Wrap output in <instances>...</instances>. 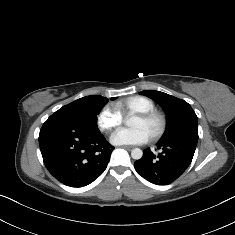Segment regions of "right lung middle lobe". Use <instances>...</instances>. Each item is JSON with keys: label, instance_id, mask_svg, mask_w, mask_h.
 Listing matches in <instances>:
<instances>
[{"label": "right lung middle lobe", "instance_id": "obj_1", "mask_svg": "<svg viewBox=\"0 0 235 235\" xmlns=\"http://www.w3.org/2000/svg\"><path fill=\"white\" fill-rule=\"evenodd\" d=\"M107 102L108 99L102 96H86L61 107L51 117L66 118L87 128L98 129L97 114Z\"/></svg>", "mask_w": 235, "mask_h": 235}]
</instances>
